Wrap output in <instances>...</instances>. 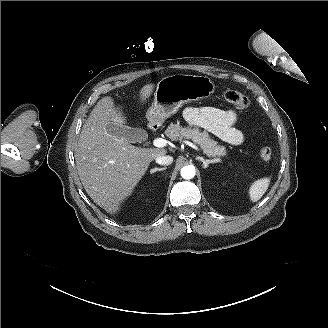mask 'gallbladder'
Returning <instances> with one entry per match:
<instances>
[{
  "label": "gallbladder",
  "instance_id": "gallbladder-1",
  "mask_svg": "<svg viewBox=\"0 0 328 328\" xmlns=\"http://www.w3.org/2000/svg\"><path fill=\"white\" fill-rule=\"evenodd\" d=\"M105 131L108 135L124 138L131 143L143 142L148 138V134L143 128L117 125L113 122L106 124Z\"/></svg>",
  "mask_w": 328,
  "mask_h": 328
}]
</instances>
